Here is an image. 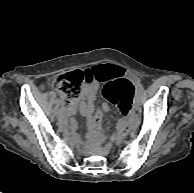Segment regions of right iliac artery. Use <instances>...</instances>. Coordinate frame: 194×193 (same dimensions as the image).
Listing matches in <instances>:
<instances>
[{
  "label": "right iliac artery",
  "instance_id": "82829eb1",
  "mask_svg": "<svg viewBox=\"0 0 194 193\" xmlns=\"http://www.w3.org/2000/svg\"><path fill=\"white\" fill-rule=\"evenodd\" d=\"M61 95V99H63V96H62V94H60ZM63 114V110L62 109H60L59 110V115L61 116Z\"/></svg>",
  "mask_w": 194,
  "mask_h": 193
}]
</instances>
